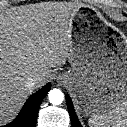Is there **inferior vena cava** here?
Masks as SVG:
<instances>
[{
	"label": "inferior vena cava",
	"instance_id": "inferior-vena-cava-1",
	"mask_svg": "<svg viewBox=\"0 0 127 127\" xmlns=\"http://www.w3.org/2000/svg\"><path fill=\"white\" fill-rule=\"evenodd\" d=\"M37 80H38V77L37 76L32 77V78H29L28 81L26 82V87L29 88V89H31L35 85V83L37 82Z\"/></svg>",
	"mask_w": 127,
	"mask_h": 127
}]
</instances>
